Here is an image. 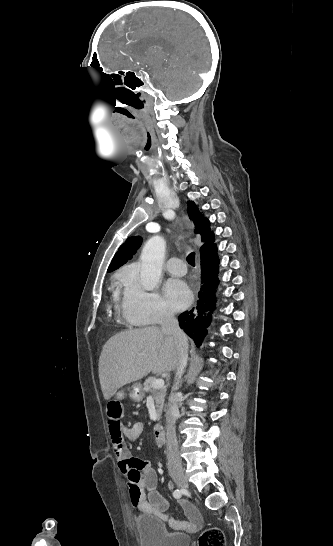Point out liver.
<instances>
[{
    "label": "liver",
    "instance_id": "6515ba94",
    "mask_svg": "<svg viewBox=\"0 0 333 546\" xmlns=\"http://www.w3.org/2000/svg\"><path fill=\"white\" fill-rule=\"evenodd\" d=\"M178 350L172 335L158 327L130 330L111 337L99 357V379L105 400L122 386L148 375L176 370Z\"/></svg>",
    "mask_w": 333,
    "mask_h": 546
}]
</instances>
